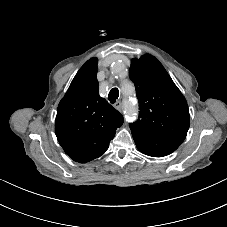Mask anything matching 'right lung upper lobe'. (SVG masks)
<instances>
[{"label":"right lung upper lobe","instance_id":"right-lung-upper-lobe-1","mask_svg":"<svg viewBox=\"0 0 227 227\" xmlns=\"http://www.w3.org/2000/svg\"><path fill=\"white\" fill-rule=\"evenodd\" d=\"M97 64L93 57L80 68L57 109V139L79 163L100 157L123 124L122 115L99 96Z\"/></svg>","mask_w":227,"mask_h":227}]
</instances>
